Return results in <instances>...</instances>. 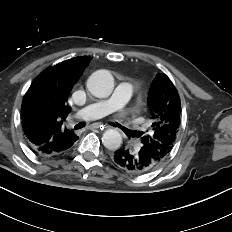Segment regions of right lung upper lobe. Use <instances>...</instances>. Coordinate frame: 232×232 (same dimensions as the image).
I'll return each instance as SVG.
<instances>
[{"label": "right lung upper lobe", "instance_id": "1", "mask_svg": "<svg viewBox=\"0 0 232 232\" xmlns=\"http://www.w3.org/2000/svg\"><path fill=\"white\" fill-rule=\"evenodd\" d=\"M90 60V56L65 60L43 71L32 82L23 99L21 117L24 131H35L30 137L37 145L49 142L54 135L75 134L62 125L71 110L66 102Z\"/></svg>", "mask_w": 232, "mask_h": 232}]
</instances>
